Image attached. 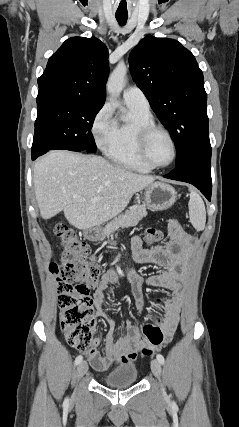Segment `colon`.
I'll list each match as a JSON object with an SVG mask.
<instances>
[{"label": "colon", "instance_id": "1", "mask_svg": "<svg viewBox=\"0 0 239 427\" xmlns=\"http://www.w3.org/2000/svg\"><path fill=\"white\" fill-rule=\"evenodd\" d=\"M54 234L63 246L60 264L51 263L49 270L57 276V289L60 308V324L69 344L82 352L93 348L94 313L90 292L101 280V267L90 248L82 242L74 230L63 224L54 227ZM162 238V233L154 228L148 229L145 240L152 244ZM153 304L160 298L153 297ZM147 345L142 353L149 355L164 340L159 319L143 326Z\"/></svg>", "mask_w": 239, "mask_h": 427}]
</instances>
